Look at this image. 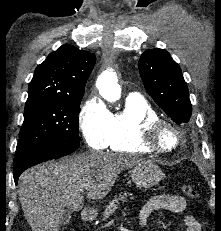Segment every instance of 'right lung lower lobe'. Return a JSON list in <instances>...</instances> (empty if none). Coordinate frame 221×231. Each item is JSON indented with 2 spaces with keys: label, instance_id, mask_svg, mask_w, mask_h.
<instances>
[{
  "label": "right lung lower lobe",
  "instance_id": "obj_1",
  "mask_svg": "<svg viewBox=\"0 0 221 231\" xmlns=\"http://www.w3.org/2000/svg\"><path fill=\"white\" fill-rule=\"evenodd\" d=\"M78 147L73 146H50L34 149L14 161L13 176L17 184L20 174L26 169L44 161L66 156L74 152Z\"/></svg>",
  "mask_w": 221,
  "mask_h": 231
}]
</instances>
